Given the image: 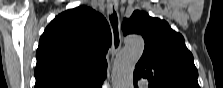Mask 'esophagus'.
<instances>
[{
    "label": "esophagus",
    "mask_w": 223,
    "mask_h": 88,
    "mask_svg": "<svg viewBox=\"0 0 223 88\" xmlns=\"http://www.w3.org/2000/svg\"><path fill=\"white\" fill-rule=\"evenodd\" d=\"M107 19L110 25L112 34V46L111 55L112 58L118 53L121 48V32H120V20L118 13V1L108 0L107 1Z\"/></svg>",
    "instance_id": "34e87169"
}]
</instances>
